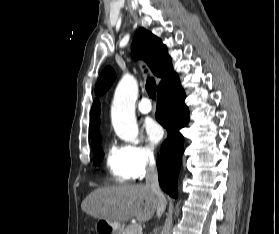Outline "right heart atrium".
<instances>
[{
    "label": "right heart atrium",
    "mask_w": 279,
    "mask_h": 234,
    "mask_svg": "<svg viewBox=\"0 0 279 234\" xmlns=\"http://www.w3.org/2000/svg\"><path fill=\"white\" fill-rule=\"evenodd\" d=\"M131 169L135 178L142 177L156 161L153 145L137 142L126 147Z\"/></svg>",
    "instance_id": "d8ad5b80"
}]
</instances>
